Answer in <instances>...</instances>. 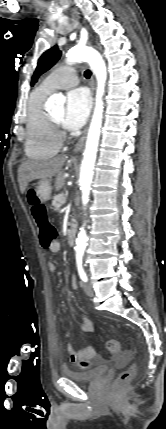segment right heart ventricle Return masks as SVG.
<instances>
[{
	"mask_svg": "<svg viewBox=\"0 0 166 429\" xmlns=\"http://www.w3.org/2000/svg\"><path fill=\"white\" fill-rule=\"evenodd\" d=\"M49 93L50 91L39 87L32 91L28 101L25 151L29 158L35 160L54 156L60 146L44 108V102Z\"/></svg>",
	"mask_w": 166,
	"mask_h": 429,
	"instance_id": "right-heart-ventricle-1",
	"label": "right heart ventricle"
}]
</instances>
